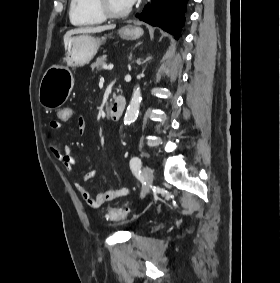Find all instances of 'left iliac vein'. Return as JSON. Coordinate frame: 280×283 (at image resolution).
Segmentation results:
<instances>
[{"mask_svg": "<svg viewBox=\"0 0 280 283\" xmlns=\"http://www.w3.org/2000/svg\"><path fill=\"white\" fill-rule=\"evenodd\" d=\"M153 179H154L153 171L149 167L145 166L142 169V180L144 182V185L142 187L141 196H145L149 192L150 185L152 184Z\"/></svg>", "mask_w": 280, "mask_h": 283, "instance_id": "left-iliac-vein-1", "label": "left iliac vein"}]
</instances>
